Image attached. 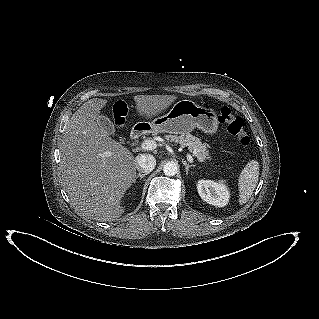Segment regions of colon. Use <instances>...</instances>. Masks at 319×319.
I'll return each mask as SVG.
<instances>
[{"label": "colon", "instance_id": "colon-1", "mask_svg": "<svg viewBox=\"0 0 319 319\" xmlns=\"http://www.w3.org/2000/svg\"><path fill=\"white\" fill-rule=\"evenodd\" d=\"M127 115V106L124 102L118 101L112 108L111 116L116 126L121 127ZM219 121L224 123L230 134L234 135L242 146L250 144V138L244 129V121L239 116H235L228 107L220 110Z\"/></svg>", "mask_w": 319, "mask_h": 319}]
</instances>
